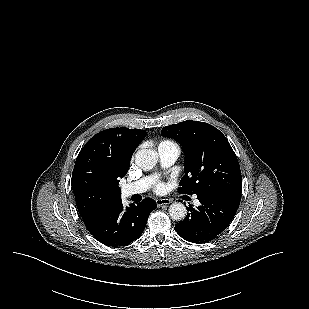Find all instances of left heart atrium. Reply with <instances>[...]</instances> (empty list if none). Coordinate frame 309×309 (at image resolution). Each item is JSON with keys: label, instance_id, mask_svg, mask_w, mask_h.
<instances>
[{"label": "left heart atrium", "instance_id": "1", "mask_svg": "<svg viewBox=\"0 0 309 309\" xmlns=\"http://www.w3.org/2000/svg\"><path fill=\"white\" fill-rule=\"evenodd\" d=\"M165 186L163 183H158L156 186V191L157 192H162L164 190Z\"/></svg>", "mask_w": 309, "mask_h": 309}]
</instances>
